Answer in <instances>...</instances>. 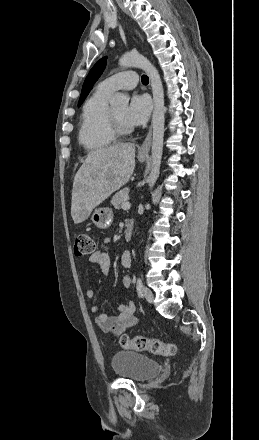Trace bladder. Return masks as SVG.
<instances>
[{"mask_svg":"<svg viewBox=\"0 0 259 440\" xmlns=\"http://www.w3.org/2000/svg\"><path fill=\"white\" fill-rule=\"evenodd\" d=\"M114 373L135 382L149 380L161 371L158 361L132 350L118 351L111 360Z\"/></svg>","mask_w":259,"mask_h":440,"instance_id":"obj_1","label":"bladder"}]
</instances>
